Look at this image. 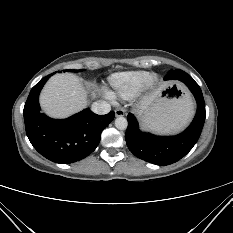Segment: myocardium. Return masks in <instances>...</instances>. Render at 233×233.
I'll return each instance as SVG.
<instances>
[{
    "label": "myocardium",
    "instance_id": "obj_1",
    "mask_svg": "<svg viewBox=\"0 0 233 233\" xmlns=\"http://www.w3.org/2000/svg\"><path fill=\"white\" fill-rule=\"evenodd\" d=\"M157 81H158L157 76L154 74H150L145 86L148 88L153 87L157 83Z\"/></svg>",
    "mask_w": 233,
    "mask_h": 233
}]
</instances>
